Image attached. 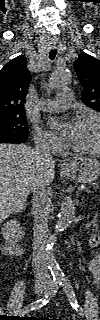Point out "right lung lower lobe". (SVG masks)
Instances as JSON below:
<instances>
[{
  "label": "right lung lower lobe",
  "mask_w": 100,
  "mask_h": 320,
  "mask_svg": "<svg viewBox=\"0 0 100 320\" xmlns=\"http://www.w3.org/2000/svg\"><path fill=\"white\" fill-rule=\"evenodd\" d=\"M26 140L21 138H11L1 141V143H25Z\"/></svg>",
  "instance_id": "obj_1"
}]
</instances>
